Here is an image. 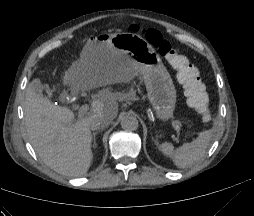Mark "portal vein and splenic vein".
<instances>
[{
	"instance_id": "18ae733b",
	"label": "portal vein and splenic vein",
	"mask_w": 254,
	"mask_h": 216,
	"mask_svg": "<svg viewBox=\"0 0 254 216\" xmlns=\"http://www.w3.org/2000/svg\"><path fill=\"white\" fill-rule=\"evenodd\" d=\"M89 110V106L88 105H83L80 107L79 111H78V117L82 118ZM173 126L177 129V130H182V125L180 122L178 121H172Z\"/></svg>"
}]
</instances>
